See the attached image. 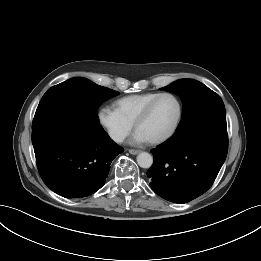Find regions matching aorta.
Masks as SVG:
<instances>
[{"label":"aorta","mask_w":261,"mask_h":261,"mask_svg":"<svg viewBox=\"0 0 261 261\" xmlns=\"http://www.w3.org/2000/svg\"><path fill=\"white\" fill-rule=\"evenodd\" d=\"M137 163L141 168H150L153 164V157L147 152H141L137 156Z\"/></svg>","instance_id":"aorta-1"}]
</instances>
